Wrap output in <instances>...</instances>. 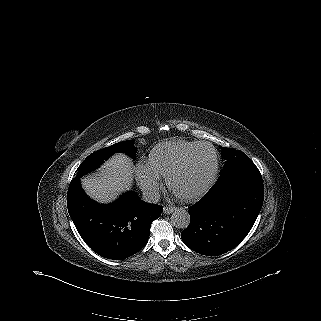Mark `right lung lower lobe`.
<instances>
[{
    "instance_id": "obj_1",
    "label": "right lung lower lobe",
    "mask_w": 321,
    "mask_h": 321,
    "mask_svg": "<svg viewBox=\"0 0 321 321\" xmlns=\"http://www.w3.org/2000/svg\"><path fill=\"white\" fill-rule=\"evenodd\" d=\"M69 215L85 243L102 257L121 260L140 251L150 236L151 223L163 208L129 191L111 204H99L74 178L67 194Z\"/></svg>"
}]
</instances>
